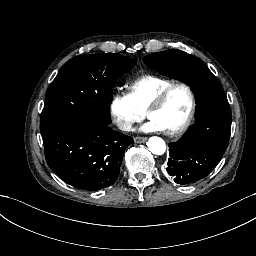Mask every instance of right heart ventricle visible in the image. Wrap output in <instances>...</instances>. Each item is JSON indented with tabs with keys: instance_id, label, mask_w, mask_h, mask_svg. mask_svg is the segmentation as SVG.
<instances>
[{
	"instance_id": "obj_1",
	"label": "right heart ventricle",
	"mask_w": 256,
	"mask_h": 256,
	"mask_svg": "<svg viewBox=\"0 0 256 256\" xmlns=\"http://www.w3.org/2000/svg\"><path fill=\"white\" fill-rule=\"evenodd\" d=\"M168 86V81H155L152 84L144 85L140 88H135L132 94V98L138 101L139 109L145 110Z\"/></svg>"
}]
</instances>
